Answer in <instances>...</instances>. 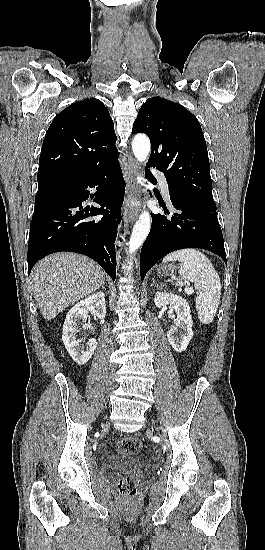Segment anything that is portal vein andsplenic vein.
<instances>
[{"label":"portal vein and splenic vein","mask_w":265,"mask_h":550,"mask_svg":"<svg viewBox=\"0 0 265 550\" xmlns=\"http://www.w3.org/2000/svg\"><path fill=\"white\" fill-rule=\"evenodd\" d=\"M187 292H188V293H192V292H193V290H192V289H189V290H188Z\"/></svg>","instance_id":"1"}]
</instances>
